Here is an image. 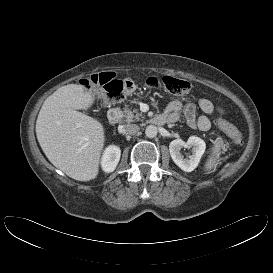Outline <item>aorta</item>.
Here are the masks:
<instances>
[{
	"mask_svg": "<svg viewBox=\"0 0 273 273\" xmlns=\"http://www.w3.org/2000/svg\"><path fill=\"white\" fill-rule=\"evenodd\" d=\"M157 133H158L157 127L154 126V125H149L145 129V135L148 138H154V137H156Z\"/></svg>",
	"mask_w": 273,
	"mask_h": 273,
	"instance_id": "1",
	"label": "aorta"
}]
</instances>
